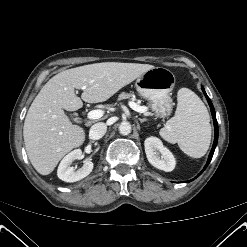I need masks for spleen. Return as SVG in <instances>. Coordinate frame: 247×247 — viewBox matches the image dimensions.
Returning <instances> with one entry per match:
<instances>
[{"label": "spleen", "instance_id": "3e777b00", "mask_svg": "<svg viewBox=\"0 0 247 247\" xmlns=\"http://www.w3.org/2000/svg\"><path fill=\"white\" fill-rule=\"evenodd\" d=\"M177 101L175 115L161 128L160 135L170 143H177L188 156L201 158L206 154L211 141L207 108L188 88L179 89Z\"/></svg>", "mask_w": 247, "mask_h": 247}]
</instances>
